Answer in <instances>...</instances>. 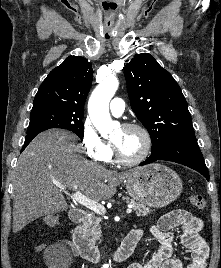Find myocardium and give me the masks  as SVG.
<instances>
[{"label":"myocardium","instance_id":"1","mask_svg":"<svg viewBox=\"0 0 221 268\" xmlns=\"http://www.w3.org/2000/svg\"><path fill=\"white\" fill-rule=\"evenodd\" d=\"M122 128L126 129V130L134 129V130L140 131L144 137V140H145L144 148L138 157L133 158V159H127V158L122 156V154L120 153L116 144L112 142L114 157L118 163L125 165V166H134V165L140 164L150 154V151L152 148L151 134L146 127H144L143 125L138 124V123H126L122 126Z\"/></svg>","mask_w":221,"mask_h":268}]
</instances>
